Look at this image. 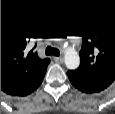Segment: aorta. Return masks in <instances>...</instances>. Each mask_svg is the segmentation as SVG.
<instances>
[{
  "mask_svg": "<svg viewBox=\"0 0 115 114\" xmlns=\"http://www.w3.org/2000/svg\"><path fill=\"white\" fill-rule=\"evenodd\" d=\"M65 65L68 69H77L80 65V57L74 49H67L64 55Z\"/></svg>",
  "mask_w": 115,
  "mask_h": 114,
  "instance_id": "762f6f07",
  "label": "aorta"
}]
</instances>
